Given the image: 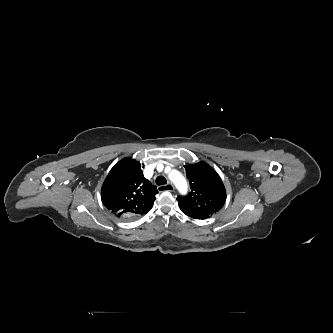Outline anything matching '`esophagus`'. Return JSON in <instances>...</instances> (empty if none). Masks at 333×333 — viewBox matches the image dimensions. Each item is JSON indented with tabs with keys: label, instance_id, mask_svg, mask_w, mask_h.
<instances>
[{
	"label": "esophagus",
	"instance_id": "obj_1",
	"mask_svg": "<svg viewBox=\"0 0 333 333\" xmlns=\"http://www.w3.org/2000/svg\"><path fill=\"white\" fill-rule=\"evenodd\" d=\"M159 190L161 191H173L174 190V186L171 183H168L164 186H160Z\"/></svg>",
	"mask_w": 333,
	"mask_h": 333
}]
</instances>
